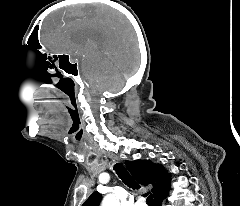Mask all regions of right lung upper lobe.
<instances>
[{
    "mask_svg": "<svg viewBox=\"0 0 240 206\" xmlns=\"http://www.w3.org/2000/svg\"><path fill=\"white\" fill-rule=\"evenodd\" d=\"M126 167L143 186L151 185L154 200L168 194L170 189V177L163 166L152 164L149 160L125 161ZM102 195L94 192L82 206H99Z\"/></svg>",
    "mask_w": 240,
    "mask_h": 206,
    "instance_id": "obj_1",
    "label": "right lung upper lobe"
}]
</instances>
